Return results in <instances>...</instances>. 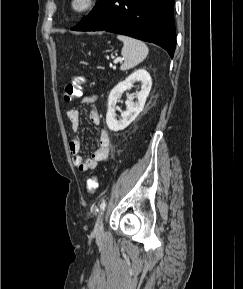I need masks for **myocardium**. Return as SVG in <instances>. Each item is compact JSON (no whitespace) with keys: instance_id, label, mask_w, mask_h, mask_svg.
Instances as JSON below:
<instances>
[{"instance_id":"myocardium-1","label":"myocardium","mask_w":243,"mask_h":289,"mask_svg":"<svg viewBox=\"0 0 243 289\" xmlns=\"http://www.w3.org/2000/svg\"><path fill=\"white\" fill-rule=\"evenodd\" d=\"M97 0H70L69 10L76 15H83L91 12L97 5Z\"/></svg>"}]
</instances>
